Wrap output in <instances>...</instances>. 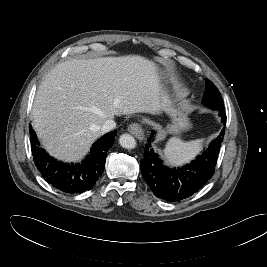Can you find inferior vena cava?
I'll use <instances>...</instances> for the list:
<instances>
[{"mask_svg": "<svg viewBox=\"0 0 267 267\" xmlns=\"http://www.w3.org/2000/svg\"><path fill=\"white\" fill-rule=\"evenodd\" d=\"M116 127V123L113 120H106L102 126H101V131L102 133H107L114 129Z\"/></svg>", "mask_w": 267, "mask_h": 267, "instance_id": "1", "label": "inferior vena cava"}]
</instances>
